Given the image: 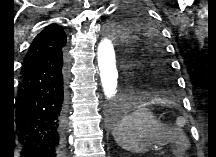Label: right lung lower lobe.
Instances as JSON below:
<instances>
[{"label":"right lung lower lobe","mask_w":216,"mask_h":157,"mask_svg":"<svg viewBox=\"0 0 216 157\" xmlns=\"http://www.w3.org/2000/svg\"><path fill=\"white\" fill-rule=\"evenodd\" d=\"M65 79L63 52L22 73L13 119L15 141L20 146L18 157H61L66 110Z\"/></svg>","instance_id":"98d812e1"}]
</instances>
